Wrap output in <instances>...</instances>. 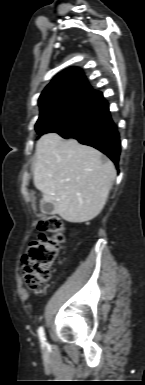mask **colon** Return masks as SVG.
Returning <instances> with one entry per match:
<instances>
[{
  "mask_svg": "<svg viewBox=\"0 0 145 385\" xmlns=\"http://www.w3.org/2000/svg\"><path fill=\"white\" fill-rule=\"evenodd\" d=\"M63 220L58 216H46L39 220V239L32 241L22 259V270L27 287L39 292L51 277L60 244L63 242Z\"/></svg>",
  "mask_w": 145,
  "mask_h": 385,
  "instance_id": "5ec220e1",
  "label": "colon"
}]
</instances>
